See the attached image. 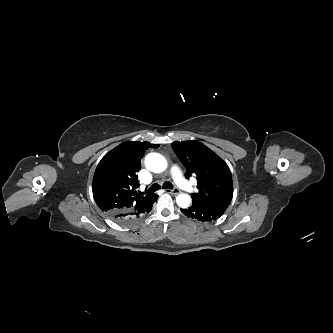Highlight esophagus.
<instances>
[{
	"instance_id": "esophagus-1",
	"label": "esophagus",
	"mask_w": 333,
	"mask_h": 333,
	"mask_svg": "<svg viewBox=\"0 0 333 333\" xmlns=\"http://www.w3.org/2000/svg\"><path fill=\"white\" fill-rule=\"evenodd\" d=\"M165 192L173 194V195H177V194L180 193V190L178 188H175V189H172V190L166 189Z\"/></svg>"
}]
</instances>
